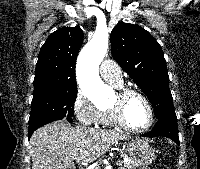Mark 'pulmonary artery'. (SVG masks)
<instances>
[{"mask_svg": "<svg viewBox=\"0 0 200 169\" xmlns=\"http://www.w3.org/2000/svg\"><path fill=\"white\" fill-rule=\"evenodd\" d=\"M100 74L108 82L114 85L122 84V75L119 65L112 60H104L100 65Z\"/></svg>", "mask_w": 200, "mask_h": 169, "instance_id": "e3ab8cb5", "label": "pulmonary artery"}]
</instances>
